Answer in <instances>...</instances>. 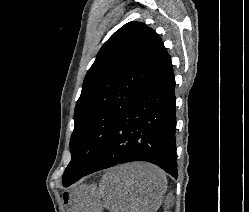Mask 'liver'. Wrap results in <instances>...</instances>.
<instances>
[{
	"label": "liver",
	"mask_w": 249,
	"mask_h": 212,
	"mask_svg": "<svg viewBox=\"0 0 249 212\" xmlns=\"http://www.w3.org/2000/svg\"><path fill=\"white\" fill-rule=\"evenodd\" d=\"M99 192L109 212H157L166 192V176L147 162L122 164L104 174Z\"/></svg>",
	"instance_id": "obj_1"
}]
</instances>
